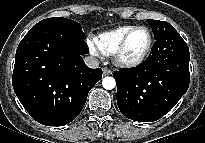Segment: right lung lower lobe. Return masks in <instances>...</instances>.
Listing matches in <instances>:
<instances>
[{"label": "right lung lower lobe", "instance_id": "obj_1", "mask_svg": "<svg viewBox=\"0 0 205 143\" xmlns=\"http://www.w3.org/2000/svg\"><path fill=\"white\" fill-rule=\"evenodd\" d=\"M84 39L54 25H34L18 45L12 84L25 110L46 126H63L83 109L102 78L82 59Z\"/></svg>", "mask_w": 205, "mask_h": 143}]
</instances>
